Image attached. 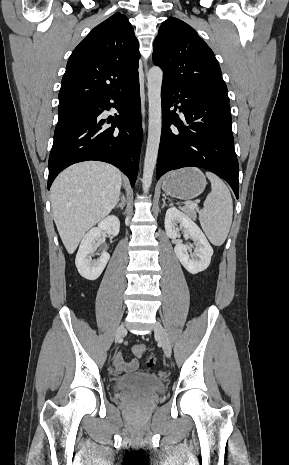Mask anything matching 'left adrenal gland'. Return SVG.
Wrapping results in <instances>:
<instances>
[{"label": "left adrenal gland", "mask_w": 289, "mask_h": 465, "mask_svg": "<svg viewBox=\"0 0 289 465\" xmlns=\"http://www.w3.org/2000/svg\"><path fill=\"white\" fill-rule=\"evenodd\" d=\"M165 199L166 197L164 196V198H162V201H163V205H162V208H164L166 206V202H165Z\"/></svg>", "instance_id": "left-adrenal-gland-1"}]
</instances>
